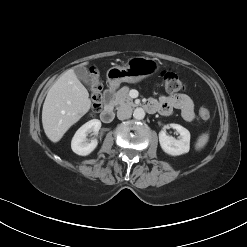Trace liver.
Returning a JSON list of instances; mask_svg holds the SVG:
<instances>
[{
	"label": "liver",
	"mask_w": 247,
	"mask_h": 247,
	"mask_svg": "<svg viewBox=\"0 0 247 247\" xmlns=\"http://www.w3.org/2000/svg\"><path fill=\"white\" fill-rule=\"evenodd\" d=\"M90 107L87 89L73 69L67 70L49 89L43 104L42 124L46 136L54 143L60 141Z\"/></svg>",
	"instance_id": "1"
}]
</instances>
